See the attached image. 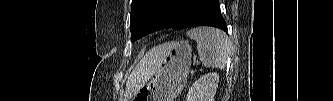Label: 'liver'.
Wrapping results in <instances>:
<instances>
[{"mask_svg": "<svg viewBox=\"0 0 333 101\" xmlns=\"http://www.w3.org/2000/svg\"><path fill=\"white\" fill-rule=\"evenodd\" d=\"M165 48V44L155 47L141 59L127 81L124 101H128L154 75Z\"/></svg>", "mask_w": 333, "mask_h": 101, "instance_id": "1", "label": "liver"}]
</instances>
